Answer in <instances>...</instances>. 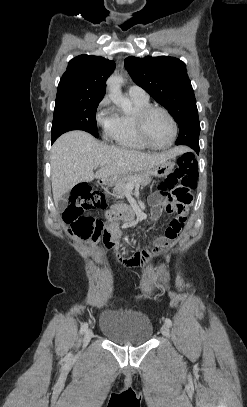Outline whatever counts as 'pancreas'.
Returning <instances> with one entry per match:
<instances>
[{"label": "pancreas", "instance_id": "1", "mask_svg": "<svg viewBox=\"0 0 247 407\" xmlns=\"http://www.w3.org/2000/svg\"><path fill=\"white\" fill-rule=\"evenodd\" d=\"M151 177L146 174V173H138V174H134V175H127L124 176L114 187L113 189V193L114 196L117 199H124L126 197L127 194V185L130 181L133 182V184H140L142 186H146L148 184H150L151 182ZM120 206H124V207H129L128 205H120Z\"/></svg>", "mask_w": 247, "mask_h": 407}]
</instances>
